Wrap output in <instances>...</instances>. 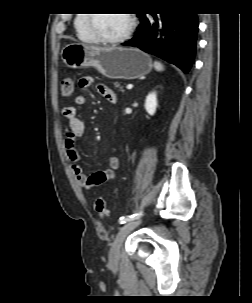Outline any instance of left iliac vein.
<instances>
[{
  "label": "left iliac vein",
  "mask_w": 252,
  "mask_h": 303,
  "mask_svg": "<svg viewBox=\"0 0 252 303\" xmlns=\"http://www.w3.org/2000/svg\"><path fill=\"white\" fill-rule=\"evenodd\" d=\"M140 224V220H133L125 223L119 230L115 240L112 243L109 260L112 264H117L120 259V249L126 236L131 230Z\"/></svg>",
  "instance_id": "4c4485c4"
}]
</instances>
